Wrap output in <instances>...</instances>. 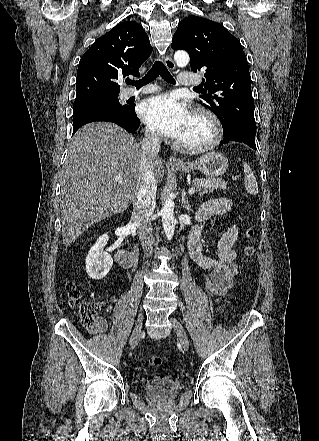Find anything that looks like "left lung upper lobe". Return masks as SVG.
<instances>
[{
  "label": "left lung upper lobe",
  "mask_w": 319,
  "mask_h": 441,
  "mask_svg": "<svg viewBox=\"0 0 319 441\" xmlns=\"http://www.w3.org/2000/svg\"><path fill=\"white\" fill-rule=\"evenodd\" d=\"M171 47L189 53L194 72L206 69L199 102L219 118L223 132L234 124L256 127L247 58L237 38L219 23L190 15L179 23Z\"/></svg>",
  "instance_id": "left-lung-upper-lobe-1"
}]
</instances>
